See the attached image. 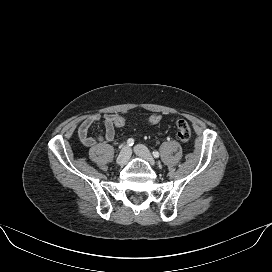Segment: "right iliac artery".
Instances as JSON below:
<instances>
[{
    "instance_id": "1",
    "label": "right iliac artery",
    "mask_w": 272,
    "mask_h": 272,
    "mask_svg": "<svg viewBox=\"0 0 272 272\" xmlns=\"http://www.w3.org/2000/svg\"><path fill=\"white\" fill-rule=\"evenodd\" d=\"M133 144H134V139H133V138H129V139L127 140V145H128V146H133Z\"/></svg>"
}]
</instances>
